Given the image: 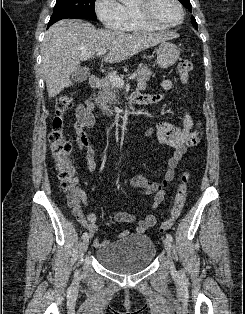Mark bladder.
Masks as SVG:
<instances>
[{"label": "bladder", "instance_id": "31cf9c89", "mask_svg": "<svg viewBox=\"0 0 245 314\" xmlns=\"http://www.w3.org/2000/svg\"><path fill=\"white\" fill-rule=\"evenodd\" d=\"M156 248L145 235H130L108 243L96 251V259L111 271L129 274L148 267L154 260Z\"/></svg>", "mask_w": 245, "mask_h": 314}]
</instances>
